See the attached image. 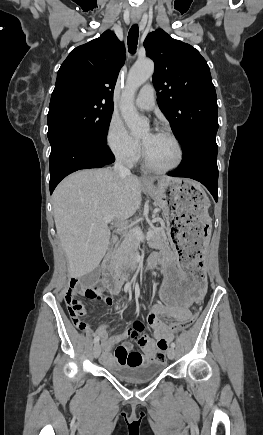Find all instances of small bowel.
<instances>
[{
	"mask_svg": "<svg viewBox=\"0 0 263 435\" xmlns=\"http://www.w3.org/2000/svg\"><path fill=\"white\" fill-rule=\"evenodd\" d=\"M174 256L175 254L171 249L164 248L159 253H153L149 257L147 266L159 270L161 261H165L166 258L174 259ZM104 302L111 305L112 299ZM160 315L171 316L177 321L184 322L191 318L188 305H185L183 309H180L178 305H154L146 315V323L154 331V339L142 334L144 325L139 320H133L130 326L111 336L107 333V324H101L96 330L103 349L101 362L105 365H140L152 360H164V355L172 348L170 341L174 338V329H170L169 325L160 319ZM127 337L135 339L143 353L134 350L132 344L125 340ZM120 341L123 343L112 353L113 346Z\"/></svg>",
	"mask_w": 263,
	"mask_h": 435,
	"instance_id": "small-bowel-1",
	"label": "small bowel"
}]
</instances>
